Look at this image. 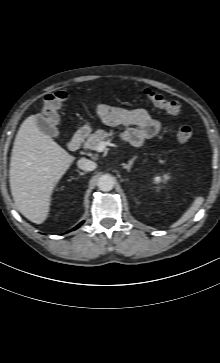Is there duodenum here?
<instances>
[{"mask_svg": "<svg viewBox=\"0 0 220 363\" xmlns=\"http://www.w3.org/2000/svg\"><path fill=\"white\" fill-rule=\"evenodd\" d=\"M87 135H88L87 128H80L79 130H77L76 133L68 142L67 144L68 148L70 150H77L81 146Z\"/></svg>", "mask_w": 220, "mask_h": 363, "instance_id": "duodenum-1", "label": "duodenum"}]
</instances>
